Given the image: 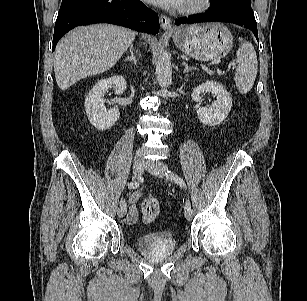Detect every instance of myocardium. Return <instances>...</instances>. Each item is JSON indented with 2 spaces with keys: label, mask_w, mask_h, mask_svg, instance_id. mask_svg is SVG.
Instances as JSON below:
<instances>
[{
  "label": "myocardium",
  "mask_w": 307,
  "mask_h": 301,
  "mask_svg": "<svg viewBox=\"0 0 307 301\" xmlns=\"http://www.w3.org/2000/svg\"><path fill=\"white\" fill-rule=\"evenodd\" d=\"M212 0H186L178 7L181 14H196L205 11L211 6Z\"/></svg>",
  "instance_id": "myocardium-1"
}]
</instances>
